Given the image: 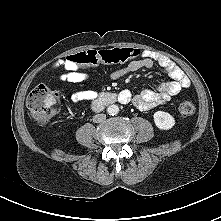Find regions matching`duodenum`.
I'll return each instance as SVG.
<instances>
[{
    "instance_id": "410a0bca",
    "label": "duodenum",
    "mask_w": 221,
    "mask_h": 221,
    "mask_svg": "<svg viewBox=\"0 0 221 221\" xmlns=\"http://www.w3.org/2000/svg\"><path fill=\"white\" fill-rule=\"evenodd\" d=\"M128 97L118 95L117 93L107 92L102 94L98 99L93 102V109L95 111H100L104 107L117 103V102H127Z\"/></svg>"
}]
</instances>
